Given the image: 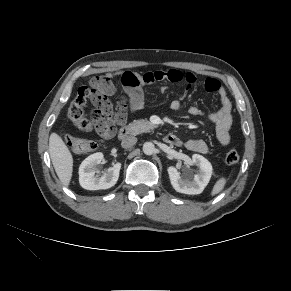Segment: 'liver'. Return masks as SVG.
<instances>
[{"mask_svg":"<svg viewBox=\"0 0 291 291\" xmlns=\"http://www.w3.org/2000/svg\"><path fill=\"white\" fill-rule=\"evenodd\" d=\"M49 153L60 181L68 186L72 178L73 157L62 138L55 132L49 138Z\"/></svg>","mask_w":291,"mask_h":291,"instance_id":"liver-1","label":"liver"}]
</instances>
